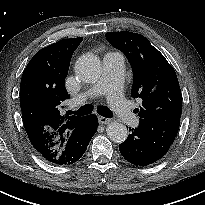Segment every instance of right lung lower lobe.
<instances>
[{
  "label": "right lung lower lobe",
  "instance_id": "1",
  "mask_svg": "<svg viewBox=\"0 0 205 205\" xmlns=\"http://www.w3.org/2000/svg\"><path fill=\"white\" fill-rule=\"evenodd\" d=\"M97 119L94 115L86 116L84 122L68 136L56 165H70L79 160L97 131Z\"/></svg>",
  "mask_w": 205,
  "mask_h": 205
}]
</instances>
